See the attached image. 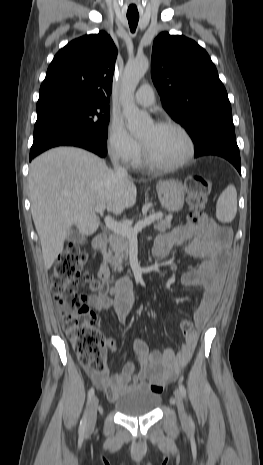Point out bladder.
Returning a JSON list of instances; mask_svg holds the SVG:
<instances>
[{"label":"bladder","instance_id":"31cf9c89","mask_svg":"<svg viewBox=\"0 0 263 465\" xmlns=\"http://www.w3.org/2000/svg\"><path fill=\"white\" fill-rule=\"evenodd\" d=\"M160 403V394L145 387H134L114 402V409L127 417H139L152 413Z\"/></svg>","mask_w":263,"mask_h":465}]
</instances>
